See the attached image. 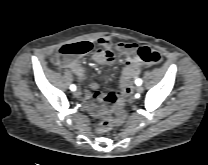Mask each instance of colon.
<instances>
[{
  "instance_id": "colon-1",
  "label": "colon",
  "mask_w": 208,
  "mask_h": 165,
  "mask_svg": "<svg viewBox=\"0 0 208 165\" xmlns=\"http://www.w3.org/2000/svg\"><path fill=\"white\" fill-rule=\"evenodd\" d=\"M91 50L92 46L85 41L65 44L58 49L57 54L54 57V62L59 63L61 61L73 59L85 55ZM137 54L142 64L156 65L162 62V56L160 53L148 47L139 48ZM119 92L121 93V100L118 102L115 116L113 118L106 119L99 124L96 129L98 134L106 133L113 127L121 125L125 121L126 113L124 110V97L129 92V90L127 87L122 86V89L119 90Z\"/></svg>"
}]
</instances>
